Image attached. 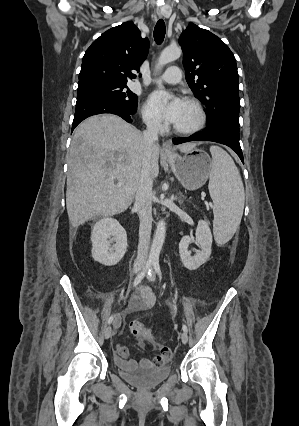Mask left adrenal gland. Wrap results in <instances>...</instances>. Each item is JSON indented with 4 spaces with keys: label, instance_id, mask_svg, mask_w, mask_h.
Here are the masks:
<instances>
[{
    "label": "left adrenal gland",
    "instance_id": "obj_1",
    "mask_svg": "<svg viewBox=\"0 0 299 426\" xmlns=\"http://www.w3.org/2000/svg\"><path fill=\"white\" fill-rule=\"evenodd\" d=\"M177 199V198H176ZM183 198H182V195L180 194V196L178 197V202L181 204L182 202H183V200H182Z\"/></svg>",
    "mask_w": 299,
    "mask_h": 426
}]
</instances>
